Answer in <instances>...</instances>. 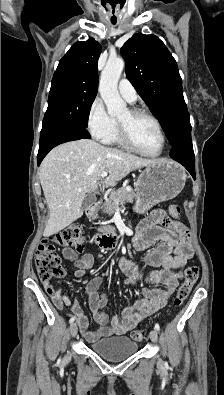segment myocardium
Here are the masks:
<instances>
[{
    "mask_svg": "<svg viewBox=\"0 0 224 395\" xmlns=\"http://www.w3.org/2000/svg\"><path fill=\"white\" fill-rule=\"evenodd\" d=\"M128 112H129L130 116L133 118L139 117V116H144V117L149 118L150 120H152L155 123V125L159 131L160 137H161V147H160V150L156 153H149V152H146V151L140 149L134 142L128 125L121 122L120 120H118V122H117L118 132H119L120 140L123 143V145L126 146L127 148H129L130 150H132L140 155H143V156L153 157V158L161 156L165 150L167 140H166V135L163 130L162 124L159 121V119L155 115L150 113L149 111L142 109V108L133 107V108H130L128 110Z\"/></svg>",
    "mask_w": 224,
    "mask_h": 395,
    "instance_id": "myocardium-1",
    "label": "myocardium"
}]
</instances>
